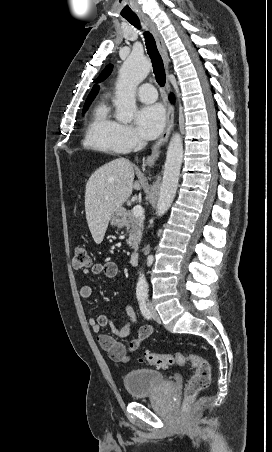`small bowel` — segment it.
Here are the masks:
<instances>
[{
  "instance_id": "1",
  "label": "small bowel",
  "mask_w": 272,
  "mask_h": 452,
  "mask_svg": "<svg viewBox=\"0 0 272 452\" xmlns=\"http://www.w3.org/2000/svg\"><path fill=\"white\" fill-rule=\"evenodd\" d=\"M91 272L94 275H104L105 277L112 279L115 278L118 274V266L113 261L94 263L91 266ZM82 273L84 276H87L89 274V270L84 269ZM92 294L93 288L90 285H83L80 288V296L82 299H90L92 297ZM126 314L127 320L120 328H117L113 321L106 315H101L97 318L90 317L88 321L92 330L98 334V341L100 346L110 354L111 358L115 360H122V358L116 359L113 357L112 353L116 347H120L122 349V355L125 354L124 348L116 343L115 338L122 339L127 337L137 324V315L131 305L126 306ZM107 326H110L111 328V335L101 333L102 330ZM153 332L154 329L152 326H142L138 329L137 335L132 341L137 343L138 348L144 340H146L153 334Z\"/></svg>"
}]
</instances>
